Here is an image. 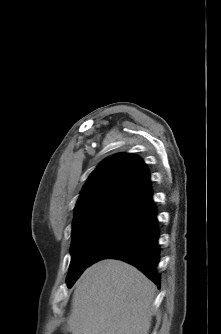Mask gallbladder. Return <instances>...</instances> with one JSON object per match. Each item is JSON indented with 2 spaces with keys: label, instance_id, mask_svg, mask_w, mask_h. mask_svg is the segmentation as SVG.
<instances>
[{
  "label": "gallbladder",
  "instance_id": "1",
  "mask_svg": "<svg viewBox=\"0 0 221 334\" xmlns=\"http://www.w3.org/2000/svg\"><path fill=\"white\" fill-rule=\"evenodd\" d=\"M64 331H69V328H68V327H65V328H64Z\"/></svg>",
  "mask_w": 221,
  "mask_h": 334
}]
</instances>
